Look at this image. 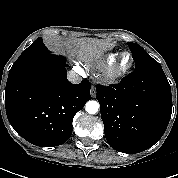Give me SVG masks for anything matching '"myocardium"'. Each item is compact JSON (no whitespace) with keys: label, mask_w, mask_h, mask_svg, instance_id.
Listing matches in <instances>:
<instances>
[{"label":"myocardium","mask_w":178,"mask_h":178,"mask_svg":"<svg viewBox=\"0 0 178 178\" xmlns=\"http://www.w3.org/2000/svg\"><path fill=\"white\" fill-rule=\"evenodd\" d=\"M129 55L131 58L130 64L123 68L121 67V60L124 55ZM134 66V58L130 52H122L117 59L111 64L104 74V78L107 82L115 83L126 77Z\"/></svg>","instance_id":"obj_1"}]
</instances>
